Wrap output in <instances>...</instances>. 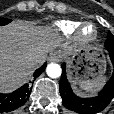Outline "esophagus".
Instances as JSON below:
<instances>
[{"mask_svg": "<svg viewBox=\"0 0 114 114\" xmlns=\"http://www.w3.org/2000/svg\"><path fill=\"white\" fill-rule=\"evenodd\" d=\"M60 60H61V57L57 52H53L49 56L50 62H59Z\"/></svg>", "mask_w": 114, "mask_h": 114, "instance_id": "1", "label": "esophagus"}]
</instances>
